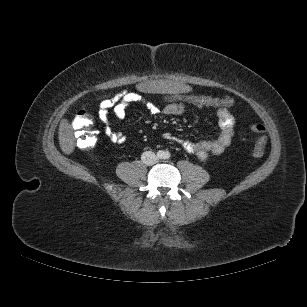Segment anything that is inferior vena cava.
Wrapping results in <instances>:
<instances>
[{
    "label": "inferior vena cava",
    "instance_id": "obj_1",
    "mask_svg": "<svg viewBox=\"0 0 307 307\" xmlns=\"http://www.w3.org/2000/svg\"><path fill=\"white\" fill-rule=\"evenodd\" d=\"M141 160L144 164L152 166L158 162V157L152 151H145L141 155Z\"/></svg>",
    "mask_w": 307,
    "mask_h": 307
}]
</instances>
